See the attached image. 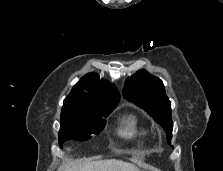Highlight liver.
<instances>
[{
    "instance_id": "6515ba94",
    "label": "liver",
    "mask_w": 223,
    "mask_h": 171,
    "mask_svg": "<svg viewBox=\"0 0 223 171\" xmlns=\"http://www.w3.org/2000/svg\"><path fill=\"white\" fill-rule=\"evenodd\" d=\"M60 171H141L133 164L121 160L111 159L95 162L81 163L79 160L72 162Z\"/></svg>"
}]
</instances>
